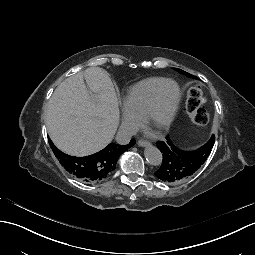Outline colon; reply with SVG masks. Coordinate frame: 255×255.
Segmentation results:
<instances>
[{"label":"colon","mask_w":255,"mask_h":255,"mask_svg":"<svg viewBox=\"0 0 255 255\" xmlns=\"http://www.w3.org/2000/svg\"><path fill=\"white\" fill-rule=\"evenodd\" d=\"M205 98L200 85H192L186 94V112L190 119L197 125H206L209 113L204 108Z\"/></svg>","instance_id":"1"}]
</instances>
